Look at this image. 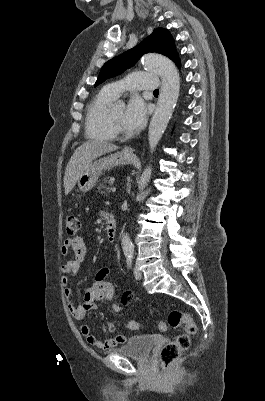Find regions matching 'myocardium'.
Here are the masks:
<instances>
[{
  "instance_id": "f54148a6",
  "label": "myocardium",
  "mask_w": 265,
  "mask_h": 401,
  "mask_svg": "<svg viewBox=\"0 0 265 401\" xmlns=\"http://www.w3.org/2000/svg\"><path fill=\"white\" fill-rule=\"evenodd\" d=\"M108 122H109V125H110V128H111L112 132L115 135L123 133L121 128L114 121L112 110H110V113H109V116H108Z\"/></svg>"
}]
</instances>
